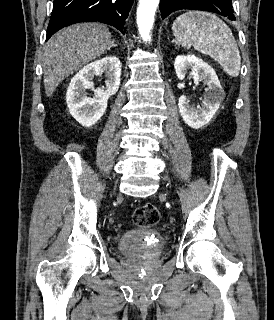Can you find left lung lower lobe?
Returning a JSON list of instances; mask_svg holds the SVG:
<instances>
[{
  "label": "left lung lower lobe",
  "mask_w": 274,
  "mask_h": 320,
  "mask_svg": "<svg viewBox=\"0 0 274 320\" xmlns=\"http://www.w3.org/2000/svg\"><path fill=\"white\" fill-rule=\"evenodd\" d=\"M180 9L203 10L218 13L230 20H236L232 0H161L162 19Z\"/></svg>",
  "instance_id": "0a47b994"
}]
</instances>
